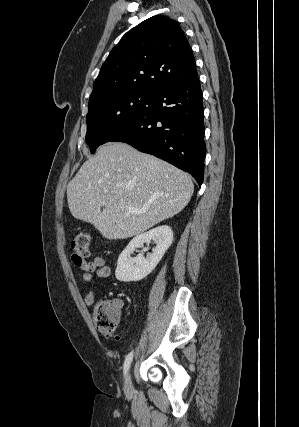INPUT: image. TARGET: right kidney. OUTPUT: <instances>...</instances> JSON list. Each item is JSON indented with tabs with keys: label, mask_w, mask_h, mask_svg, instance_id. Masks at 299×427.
<instances>
[{
	"label": "right kidney",
	"mask_w": 299,
	"mask_h": 427,
	"mask_svg": "<svg viewBox=\"0 0 299 427\" xmlns=\"http://www.w3.org/2000/svg\"><path fill=\"white\" fill-rule=\"evenodd\" d=\"M151 240L156 243L152 253L147 257L140 253L137 257L131 258V254L137 248H142L144 243L149 244ZM172 242L173 232L167 225L156 227L134 237L118 258L116 279L122 282L142 280L155 269Z\"/></svg>",
	"instance_id": "1"
}]
</instances>
